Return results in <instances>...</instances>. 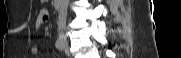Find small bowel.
Returning a JSON list of instances; mask_svg holds the SVG:
<instances>
[{
  "label": "small bowel",
  "mask_w": 181,
  "mask_h": 58,
  "mask_svg": "<svg viewBox=\"0 0 181 58\" xmlns=\"http://www.w3.org/2000/svg\"><path fill=\"white\" fill-rule=\"evenodd\" d=\"M47 19H48V12H47V10H45V9L40 10L39 16H38V19H37L36 27L39 28V26L42 23H44ZM31 52H32L33 55H37L38 52H39L38 47H33L31 49Z\"/></svg>",
  "instance_id": "1"
}]
</instances>
